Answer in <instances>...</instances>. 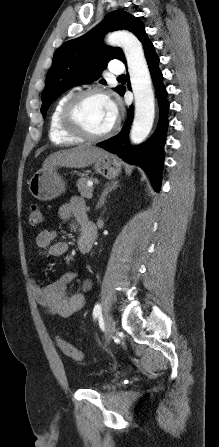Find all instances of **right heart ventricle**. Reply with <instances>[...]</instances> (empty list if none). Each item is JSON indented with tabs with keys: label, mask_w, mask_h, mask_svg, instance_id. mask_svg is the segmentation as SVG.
Here are the masks:
<instances>
[{
	"label": "right heart ventricle",
	"mask_w": 219,
	"mask_h": 447,
	"mask_svg": "<svg viewBox=\"0 0 219 447\" xmlns=\"http://www.w3.org/2000/svg\"><path fill=\"white\" fill-rule=\"evenodd\" d=\"M71 97V94L62 96L52 108L48 122V136L49 139L58 145L61 144H77L83 139L76 137L67 132L61 124V112L66 101Z\"/></svg>",
	"instance_id": "right-heart-ventricle-1"
}]
</instances>
